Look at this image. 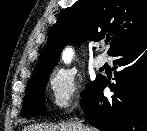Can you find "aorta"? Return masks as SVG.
Returning <instances> with one entry per match:
<instances>
[{
    "label": "aorta",
    "instance_id": "obj_1",
    "mask_svg": "<svg viewBox=\"0 0 147 131\" xmlns=\"http://www.w3.org/2000/svg\"><path fill=\"white\" fill-rule=\"evenodd\" d=\"M72 50L71 49H67L65 50L64 54H63V60L65 63H69L72 59Z\"/></svg>",
    "mask_w": 147,
    "mask_h": 131
}]
</instances>
